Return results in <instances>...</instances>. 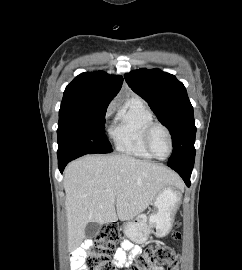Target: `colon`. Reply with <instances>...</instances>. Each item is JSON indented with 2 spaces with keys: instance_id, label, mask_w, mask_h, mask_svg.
Instances as JSON below:
<instances>
[{
  "instance_id": "1",
  "label": "colon",
  "mask_w": 242,
  "mask_h": 270,
  "mask_svg": "<svg viewBox=\"0 0 242 270\" xmlns=\"http://www.w3.org/2000/svg\"><path fill=\"white\" fill-rule=\"evenodd\" d=\"M175 239L181 238L179 231H174ZM121 240V231L117 225H107L94 238L86 257L87 270H116L111 256ZM154 266H166L167 270H180V256L170 247L156 245L148 247L138 254L128 270H152Z\"/></svg>"
}]
</instances>
